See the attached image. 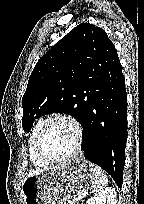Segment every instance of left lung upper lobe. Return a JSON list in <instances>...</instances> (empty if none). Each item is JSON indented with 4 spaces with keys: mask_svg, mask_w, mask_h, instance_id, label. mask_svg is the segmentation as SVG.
I'll use <instances>...</instances> for the list:
<instances>
[{
    "mask_svg": "<svg viewBox=\"0 0 144 204\" xmlns=\"http://www.w3.org/2000/svg\"><path fill=\"white\" fill-rule=\"evenodd\" d=\"M111 59L119 58L102 28L89 23L73 28L39 59L31 73L22 99L23 129L29 132L37 118L53 112L70 114L82 125L92 83L88 73Z\"/></svg>",
    "mask_w": 144,
    "mask_h": 204,
    "instance_id": "5c2ea615",
    "label": "left lung upper lobe"
}]
</instances>
